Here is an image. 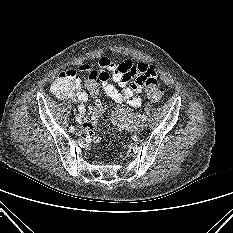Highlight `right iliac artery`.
Here are the masks:
<instances>
[{"label":"right iliac artery","instance_id":"1","mask_svg":"<svg viewBox=\"0 0 233 233\" xmlns=\"http://www.w3.org/2000/svg\"><path fill=\"white\" fill-rule=\"evenodd\" d=\"M69 131L73 133V132H75V128L73 126H70Z\"/></svg>","mask_w":233,"mask_h":233}]
</instances>
